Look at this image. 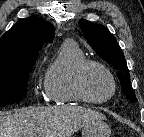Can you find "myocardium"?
I'll use <instances>...</instances> for the list:
<instances>
[{"label":"myocardium","instance_id":"1","mask_svg":"<svg viewBox=\"0 0 144 137\" xmlns=\"http://www.w3.org/2000/svg\"><path fill=\"white\" fill-rule=\"evenodd\" d=\"M91 67H97L101 69L110 79L112 90H111V93L107 97H104L101 99H94V98H91L86 93L84 89V85H83V79H84V75L86 71ZM73 88L79 100L89 103V104H104L110 101L115 96L116 91H117V82L111 70L107 66H105L103 63L94 61V60H86L77 68L75 72L74 80H73Z\"/></svg>","mask_w":144,"mask_h":137}]
</instances>
